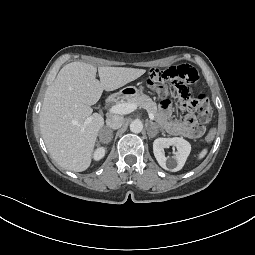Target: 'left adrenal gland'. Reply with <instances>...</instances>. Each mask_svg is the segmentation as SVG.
Masks as SVG:
<instances>
[{"label": "left adrenal gland", "instance_id": "obj_1", "mask_svg": "<svg viewBox=\"0 0 255 255\" xmlns=\"http://www.w3.org/2000/svg\"><path fill=\"white\" fill-rule=\"evenodd\" d=\"M154 129H155V130L157 129L156 124L153 123V122H150V128H149V133H148L149 136H152V135H156V134H157V132H155V133L153 134L152 130H154Z\"/></svg>", "mask_w": 255, "mask_h": 255}]
</instances>
